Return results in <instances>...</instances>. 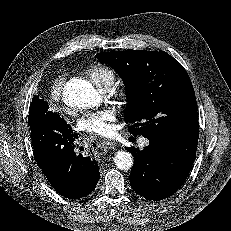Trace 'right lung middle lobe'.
<instances>
[{"label":"right lung middle lobe","instance_id":"dd1d6c3e","mask_svg":"<svg viewBox=\"0 0 231 231\" xmlns=\"http://www.w3.org/2000/svg\"><path fill=\"white\" fill-rule=\"evenodd\" d=\"M42 103H44V101L42 99H35V97L33 98L32 100V103L30 105V109H29V118H28V124L30 126L33 125V123L35 122V114H36V111H37V107L40 106Z\"/></svg>","mask_w":231,"mask_h":231}]
</instances>
